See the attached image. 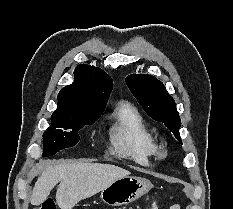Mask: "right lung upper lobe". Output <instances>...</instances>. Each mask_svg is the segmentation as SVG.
Masks as SVG:
<instances>
[{"instance_id": "right-lung-upper-lobe-1", "label": "right lung upper lobe", "mask_w": 233, "mask_h": 209, "mask_svg": "<svg viewBox=\"0 0 233 209\" xmlns=\"http://www.w3.org/2000/svg\"><path fill=\"white\" fill-rule=\"evenodd\" d=\"M112 87L111 77L102 69L80 64L74 70V82L59 92L52 116L73 110H104Z\"/></svg>"}]
</instances>
